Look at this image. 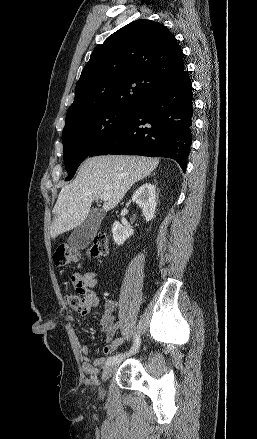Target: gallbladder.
I'll return each mask as SVG.
<instances>
[{
    "label": "gallbladder",
    "instance_id": "1",
    "mask_svg": "<svg viewBox=\"0 0 257 439\" xmlns=\"http://www.w3.org/2000/svg\"><path fill=\"white\" fill-rule=\"evenodd\" d=\"M103 218L98 209H92L85 221L73 230L68 238V244L76 249H85L97 233Z\"/></svg>",
    "mask_w": 257,
    "mask_h": 439
}]
</instances>
